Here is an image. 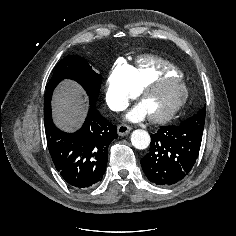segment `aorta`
Instances as JSON below:
<instances>
[{"instance_id": "obj_1", "label": "aorta", "mask_w": 236, "mask_h": 236, "mask_svg": "<svg viewBox=\"0 0 236 236\" xmlns=\"http://www.w3.org/2000/svg\"><path fill=\"white\" fill-rule=\"evenodd\" d=\"M131 143L137 149H146L150 145V135L142 129L134 130L131 134Z\"/></svg>"}]
</instances>
